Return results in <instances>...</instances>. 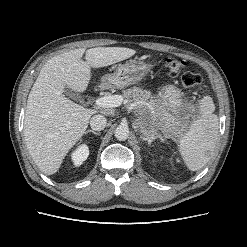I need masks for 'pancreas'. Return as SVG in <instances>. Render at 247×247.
Returning a JSON list of instances; mask_svg holds the SVG:
<instances>
[{"instance_id":"obj_1","label":"pancreas","mask_w":247,"mask_h":247,"mask_svg":"<svg viewBox=\"0 0 247 247\" xmlns=\"http://www.w3.org/2000/svg\"><path fill=\"white\" fill-rule=\"evenodd\" d=\"M123 97L127 105L134 104V110L138 114H143L149 109L156 118L166 121L171 119V115L147 90L134 86L123 91Z\"/></svg>"}]
</instances>
